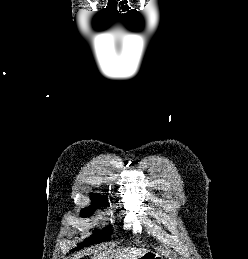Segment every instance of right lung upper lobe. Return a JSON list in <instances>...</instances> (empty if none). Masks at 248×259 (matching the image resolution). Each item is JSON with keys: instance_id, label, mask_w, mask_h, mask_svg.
<instances>
[{"instance_id": "1", "label": "right lung upper lobe", "mask_w": 248, "mask_h": 259, "mask_svg": "<svg viewBox=\"0 0 248 259\" xmlns=\"http://www.w3.org/2000/svg\"><path fill=\"white\" fill-rule=\"evenodd\" d=\"M91 198L92 200H96V199L102 198V196L99 195L98 193H94V194H91Z\"/></svg>"}]
</instances>
